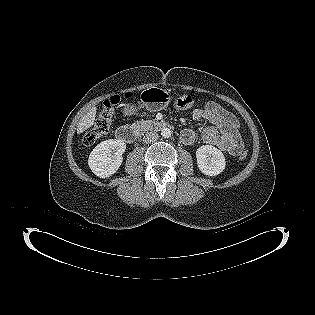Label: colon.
Returning <instances> with one entry per match:
<instances>
[{
	"label": "colon",
	"instance_id": "1",
	"mask_svg": "<svg viewBox=\"0 0 315 315\" xmlns=\"http://www.w3.org/2000/svg\"><path fill=\"white\" fill-rule=\"evenodd\" d=\"M120 100L121 97L119 95H114L104 101L95 123L83 137V141L86 145L94 144L99 138L105 136L110 131L115 108ZM194 102L195 98L192 95L185 94L175 100L174 106L178 110H185L191 107ZM238 156L241 160L246 161L249 159L250 154L247 150H242L238 153Z\"/></svg>",
	"mask_w": 315,
	"mask_h": 315
}]
</instances>
